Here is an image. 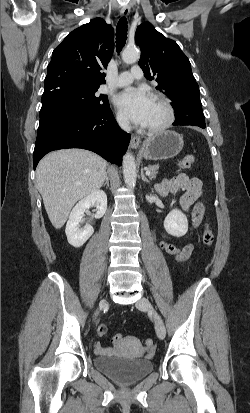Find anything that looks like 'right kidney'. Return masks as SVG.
<instances>
[{
  "instance_id": "ca27d5eb",
  "label": "right kidney",
  "mask_w": 250,
  "mask_h": 413,
  "mask_svg": "<svg viewBox=\"0 0 250 413\" xmlns=\"http://www.w3.org/2000/svg\"><path fill=\"white\" fill-rule=\"evenodd\" d=\"M91 206H96V214L94 215L96 219L103 217L107 210L106 193L97 190L82 198L72 209L65 233L69 244L76 248L81 247L94 233V229L90 224H86L84 228L79 226L85 211Z\"/></svg>"
}]
</instances>
